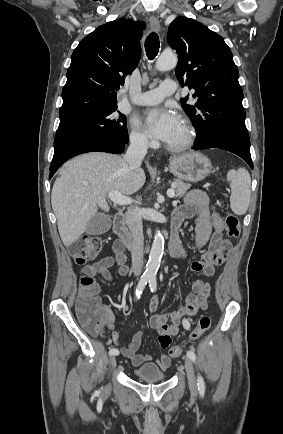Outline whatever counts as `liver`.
<instances>
[{
  "label": "liver",
  "mask_w": 283,
  "mask_h": 434,
  "mask_svg": "<svg viewBox=\"0 0 283 434\" xmlns=\"http://www.w3.org/2000/svg\"><path fill=\"white\" fill-rule=\"evenodd\" d=\"M53 185L51 203L59 234L68 247L85 231L98 208L108 211L106 194L131 195L141 189L143 169L132 168L121 156L92 152L68 161Z\"/></svg>",
  "instance_id": "1"
}]
</instances>
